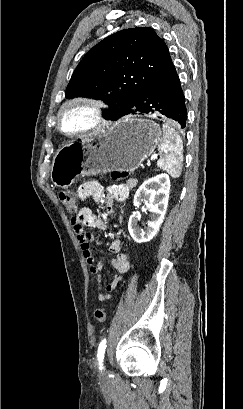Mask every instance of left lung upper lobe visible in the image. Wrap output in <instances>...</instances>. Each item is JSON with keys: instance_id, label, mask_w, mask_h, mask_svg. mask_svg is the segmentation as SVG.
<instances>
[{"instance_id": "1", "label": "left lung upper lobe", "mask_w": 243, "mask_h": 409, "mask_svg": "<svg viewBox=\"0 0 243 409\" xmlns=\"http://www.w3.org/2000/svg\"><path fill=\"white\" fill-rule=\"evenodd\" d=\"M173 67L165 42L150 27L116 32L94 46L76 67L66 97L105 101L116 120L141 92Z\"/></svg>"}]
</instances>
